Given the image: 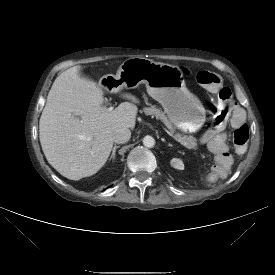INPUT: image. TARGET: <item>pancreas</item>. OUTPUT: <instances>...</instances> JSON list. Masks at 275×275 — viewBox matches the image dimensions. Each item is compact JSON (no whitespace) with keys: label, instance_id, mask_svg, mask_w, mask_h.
I'll list each match as a JSON object with an SVG mask.
<instances>
[{"label":"pancreas","instance_id":"cf45deb5","mask_svg":"<svg viewBox=\"0 0 275 275\" xmlns=\"http://www.w3.org/2000/svg\"><path fill=\"white\" fill-rule=\"evenodd\" d=\"M143 111L146 115H152L155 116L157 119H160L167 126V128H169L171 131H174V128L166 115L155 106L144 108ZM177 137L179 138L180 143L188 148H193L196 145V139L192 136H181L177 134Z\"/></svg>","mask_w":275,"mask_h":275}]
</instances>
